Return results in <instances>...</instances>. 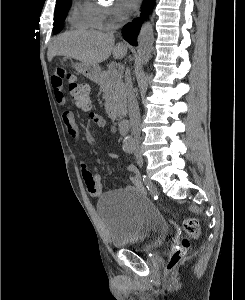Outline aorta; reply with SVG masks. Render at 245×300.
Returning <instances> with one entry per match:
<instances>
[{
  "instance_id": "762f6f07",
  "label": "aorta",
  "mask_w": 245,
  "mask_h": 300,
  "mask_svg": "<svg viewBox=\"0 0 245 300\" xmlns=\"http://www.w3.org/2000/svg\"><path fill=\"white\" fill-rule=\"evenodd\" d=\"M153 39V27L150 23H145L138 36V55L143 65L147 64L151 57ZM123 145L125 149H132L135 141L131 136H127L123 141Z\"/></svg>"
}]
</instances>
